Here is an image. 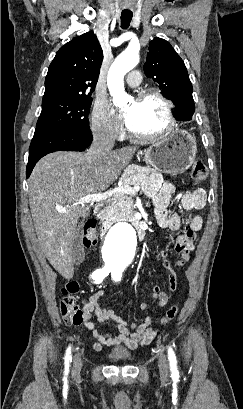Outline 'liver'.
Masks as SVG:
<instances>
[{"instance_id":"1","label":"liver","mask_w":243,"mask_h":409,"mask_svg":"<svg viewBox=\"0 0 243 409\" xmlns=\"http://www.w3.org/2000/svg\"><path fill=\"white\" fill-rule=\"evenodd\" d=\"M135 151L136 146L124 147L94 162H88L83 153L57 151L34 167L28 180L34 228L44 255L64 278L74 275L71 246L78 220L90 213L89 206L75 203L113 184Z\"/></svg>"}]
</instances>
